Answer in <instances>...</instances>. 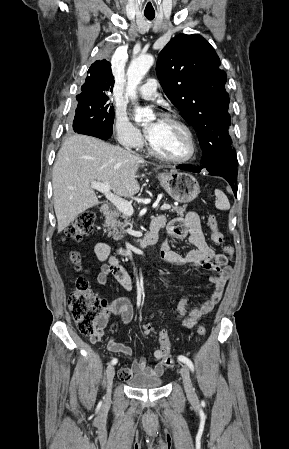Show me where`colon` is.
Returning a JSON list of instances; mask_svg holds the SVG:
<instances>
[{
    "mask_svg": "<svg viewBox=\"0 0 289 449\" xmlns=\"http://www.w3.org/2000/svg\"><path fill=\"white\" fill-rule=\"evenodd\" d=\"M94 218L95 216L91 211L81 213L68 226L66 236L71 239L80 240L91 231ZM207 226L211 231L210 237L212 242L216 245H222L224 243V236L219 229L218 221L214 215H208ZM224 252L231 257L234 250L231 246H225ZM69 261L72 264L77 265L79 262V254L77 252H71ZM68 306L79 332L90 337L95 335L100 327L101 316L105 304L104 301L92 291L89 282L84 277L77 278L75 288L69 295ZM142 331L144 335H150L153 332V328L150 324H145ZM197 333L200 336H204L206 334V328L200 326L197 329ZM158 340V349L162 354L163 361L170 367L174 362L170 355V338L165 329L159 332Z\"/></svg>",
    "mask_w": 289,
    "mask_h": 449,
    "instance_id": "1",
    "label": "colon"
}]
</instances>
